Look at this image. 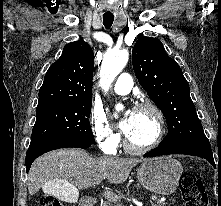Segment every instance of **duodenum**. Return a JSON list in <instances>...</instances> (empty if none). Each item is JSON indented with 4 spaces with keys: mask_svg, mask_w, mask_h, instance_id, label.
Instances as JSON below:
<instances>
[{
    "mask_svg": "<svg viewBox=\"0 0 221 206\" xmlns=\"http://www.w3.org/2000/svg\"><path fill=\"white\" fill-rule=\"evenodd\" d=\"M85 200L87 201V204L83 206H98V199L94 196L87 197Z\"/></svg>",
    "mask_w": 221,
    "mask_h": 206,
    "instance_id": "1",
    "label": "duodenum"
}]
</instances>
